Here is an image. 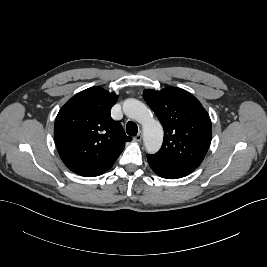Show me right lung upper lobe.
<instances>
[{"label": "right lung upper lobe", "instance_id": "cb5924a9", "mask_svg": "<svg viewBox=\"0 0 267 267\" xmlns=\"http://www.w3.org/2000/svg\"><path fill=\"white\" fill-rule=\"evenodd\" d=\"M118 96L91 87L73 96L60 109L54 139L64 164L74 173L99 176L110 169L132 138L111 118Z\"/></svg>", "mask_w": 267, "mask_h": 267}]
</instances>
